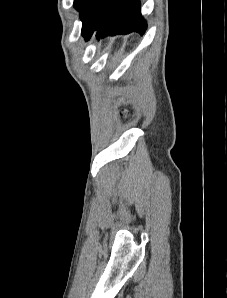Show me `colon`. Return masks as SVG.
Returning a JSON list of instances; mask_svg holds the SVG:
<instances>
[{
  "mask_svg": "<svg viewBox=\"0 0 227 298\" xmlns=\"http://www.w3.org/2000/svg\"><path fill=\"white\" fill-rule=\"evenodd\" d=\"M128 113L125 109H122V111L120 112V116L121 117H127Z\"/></svg>",
  "mask_w": 227,
  "mask_h": 298,
  "instance_id": "1",
  "label": "colon"
}]
</instances>
